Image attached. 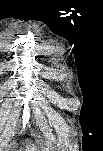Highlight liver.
I'll list each match as a JSON object with an SVG mask.
<instances>
[{
	"mask_svg": "<svg viewBox=\"0 0 103 151\" xmlns=\"http://www.w3.org/2000/svg\"><path fill=\"white\" fill-rule=\"evenodd\" d=\"M23 151H52V149L47 146H37L30 144L23 148Z\"/></svg>",
	"mask_w": 103,
	"mask_h": 151,
	"instance_id": "liver-1",
	"label": "liver"
}]
</instances>
